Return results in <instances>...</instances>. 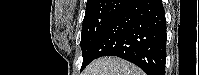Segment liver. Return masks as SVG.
Segmentation results:
<instances>
[{
    "label": "liver",
    "instance_id": "6515ba94",
    "mask_svg": "<svg viewBox=\"0 0 199 75\" xmlns=\"http://www.w3.org/2000/svg\"><path fill=\"white\" fill-rule=\"evenodd\" d=\"M82 75H144V72L126 60L108 56L91 62Z\"/></svg>",
    "mask_w": 199,
    "mask_h": 75
}]
</instances>
